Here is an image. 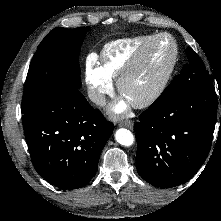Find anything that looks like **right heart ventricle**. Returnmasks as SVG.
<instances>
[{"instance_id": "e07e8e85", "label": "right heart ventricle", "mask_w": 221, "mask_h": 221, "mask_svg": "<svg viewBox=\"0 0 221 221\" xmlns=\"http://www.w3.org/2000/svg\"><path fill=\"white\" fill-rule=\"evenodd\" d=\"M152 37H154L153 34L141 35L108 43L100 57V68L103 73L111 80L119 79Z\"/></svg>"}]
</instances>
